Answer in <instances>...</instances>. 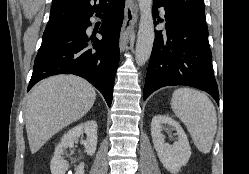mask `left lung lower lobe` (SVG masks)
Wrapping results in <instances>:
<instances>
[{"mask_svg":"<svg viewBox=\"0 0 249 174\" xmlns=\"http://www.w3.org/2000/svg\"><path fill=\"white\" fill-rule=\"evenodd\" d=\"M160 7L165 11L166 35L155 32L143 99L164 86L187 85L206 91L219 104L207 25L178 14L158 0L153 4L154 18Z\"/></svg>","mask_w":249,"mask_h":174,"instance_id":"left-lung-lower-lobe-1","label":"left lung lower lobe"}]
</instances>
